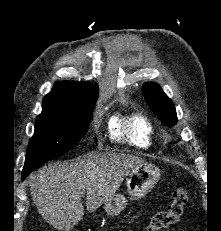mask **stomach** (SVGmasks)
<instances>
[{"label": "stomach", "instance_id": "0dacf381", "mask_svg": "<svg viewBox=\"0 0 221 231\" xmlns=\"http://www.w3.org/2000/svg\"><path fill=\"white\" fill-rule=\"evenodd\" d=\"M160 169L153 164L143 163L135 167L126 181L127 192L132 199H140L148 194L160 179ZM126 198L119 193L111 196L104 203L105 212L110 215L120 214L126 207Z\"/></svg>", "mask_w": 221, "mask_h": 231}]
</instances>
